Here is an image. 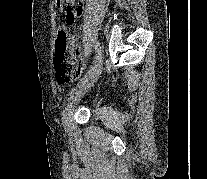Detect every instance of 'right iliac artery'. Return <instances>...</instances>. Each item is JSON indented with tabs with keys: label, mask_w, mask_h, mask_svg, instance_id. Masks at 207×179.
Returning <instances> with one entry per match:
<instances>
[{
	"label": "right iliac artery",
	"mask_w": 207,
	"mask_h": 179,
	"mask_svg": "<svg viewBox=\"0 0 207 179\" xmlns=\"http://www.w3.org/2000/svg\"><path fill=\"white\" fill-rule=\"evenodd\" d=\"M95 50H96V57L94 61V66L91 67V69L88 71V73L85 75V77L81 80L80 83H85L87 81L88 77L96 70L97 63L101 59V51H100L98 42L95 43ZM80 83H78L75 87L72 88L71 93H74L76 91L77 87L80 86L79 85Z\"/></svg>",
	"instance_id": "obj_1"
}]
</instances>
